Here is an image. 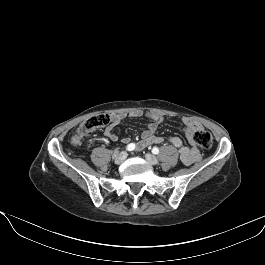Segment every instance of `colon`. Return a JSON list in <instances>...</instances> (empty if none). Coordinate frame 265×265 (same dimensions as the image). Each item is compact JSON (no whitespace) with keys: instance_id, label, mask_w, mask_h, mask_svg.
<instances>
[{"instance_id":"colon-1","label":"colon","mask_w":265,"mask_h":265,"mask_svg":"<svg viewBox=\"0 0 265 265\" xmlns=\"http://www.w3.org/2000/svg\"><path fill=\"white\" fill-rule=\"evenodd\" d=\"M109 122L110 116L107 114H98L89 118L80 125L73 141L79 143L81 138L91 136L97 129L106 126ZM194 140L203 149H210L213 146V137L207 130L196 131Z\"/></svg>"}]
</instances>
